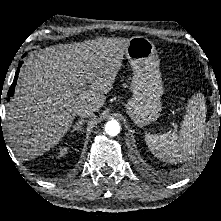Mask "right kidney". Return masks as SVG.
<instances>
[{
	"instance_id": "right-kidney-1",
	"label": "right kidney",
	"mask_w": 221,
	"mask_h": 221,
	"mask_svg": "<svg viewBox=\"0 0 221 221\" xmlns=\"http://www.w3.org/2000/svg\"><path fill=\"white\" fill-rule=\"evenodd\" d=\"M67 150L68 149L66 147L59 148L58 156H60V157L64 156L67 153Z\"/></svg>"
}]
</instances>
